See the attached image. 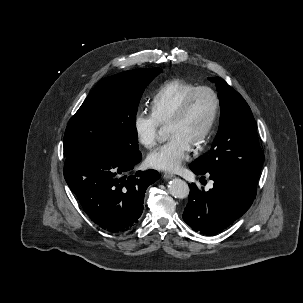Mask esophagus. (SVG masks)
I'll return each mask as SVG.
<instances>
[{
	"mask_svg": "<svg viewBox=\"0 0 303 303\" xmlns=\"http://www.w3.org/2000/svg\"><path fill=\"white\" fill-rule=\"evenodd\" d=\"M174 177H175V175L170 174V173H164V174H163V178H164V179H172V178H174Z\"/></svg>",
	"mask_w": 303,
	"mask_h": 303,
	"instance_id": "1",
	"label": "esophagus"
}]
</instances>
